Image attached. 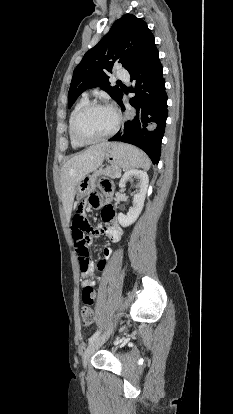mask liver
I'll return each instance as SVG.
<instances>
[{
  "label": "liver",
  "mask_w": 233,
  "mask_h": 414,
  "mask_svg": "<svg viewBox=\"0 0 233 414\" xmlns=\"http://www.w3.org/2000/svg\"><path fill=\"white\" fill-rule=\"evenodd\" d=\"M111 145L102 142L85 149L67 160L61 169L62 203L67 219H70L76 186L89 173L103 163L107 148Z\"/></svg>",
  "instance_id": "1"
}]
</instances>
